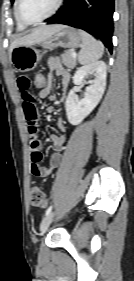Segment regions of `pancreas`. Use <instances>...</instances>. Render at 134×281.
Instances as JSON below:
<instances>
[{
    "mask_svg": "<svg viewBox=\"0 0 134 281\" xmlns=\"http://www.w3.org/2000/svg\"><path fill=\"white\" fill-rule=\"evenodd\" d=\"M71 54V50H66L61 55L63 64L68 68H74L76 66V58H73Z\"/></svg>",
    "mask_w": 134,
    "mask_h": 281,
    "instance_id": "cf45deb5",
    "label": "pancreas"
}]
</instances>
